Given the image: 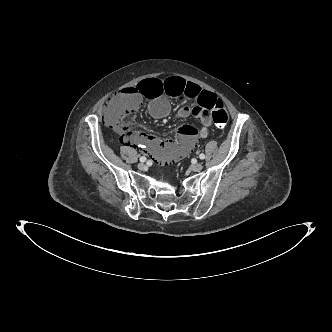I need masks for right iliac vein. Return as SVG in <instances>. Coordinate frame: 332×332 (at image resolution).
Here are the masks:
<instances>
[{
    "mask_svg": "<svg viewBox=\"0 0 332 332\" xmlns=\"http://www.w3.org/2000/svg\"><path fill=\"white\" fill-rule=\"evenodd\" d=\"M137 167H138L139 170H146L147 169V165L145 163H139Z\"/></svg>",
    "mask_w": 332,
    "mask_h": 332,
    "instance_id": "1",
    "label": "right iliac vein"
}]
</instances>
